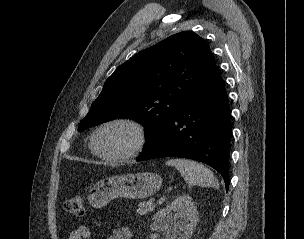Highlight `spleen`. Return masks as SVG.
Segmentation results:
<instances>
[{
  "mask_svg": "<svg viewBox=\"0 0 304 239\" xmlns=\"http://www.w3.org/2000/svg\"><path fill=\"white\" fill-rule=\"evenodd\" d=\"M166 164L174 166L189 186L219 188L218 181L211 170L199 162L176 158L168 160Z\"/></svg>",
  "mask_w": 304,
  "mask_h": 239,
  "instance_id": "obj_1",
  "label": "spleen"
}]
</instances>
